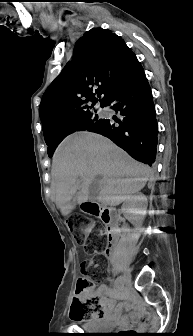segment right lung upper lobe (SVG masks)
<instances>
[{"instance_id":"obj_1","label":"right lung upper lobe","mask_w":193,"mask_h":336,"mask_svg":"<svg viewBox=\"0 0 193 336\" xmlns=\"http://www.w3.org/2000/svg\"><path fill=\"white\" fill-rule=\"evenodd\" d=\"M138 62L131 49L108 29L93 28L75 44L74 57L45 91L40 118L45 141L64 134L89 114L93 105L107 98L117 83Z\"/></svg>"}]
</instances>
